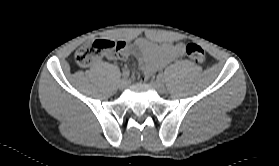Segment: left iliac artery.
<instances>
[{
    "mask_svg": "<svg viewBox=\"0 0 279 166\" xmlns=\"http://www.w3.org/2000/svg\"><path fill=\"white\" fill-rule=\"evenodd\" d=\"M157 79L163 81L164 80V75L163 74H159L157 76Z\"/></svg>",
    "mask_w": 279,
    "mask_h": 166,
    "instance_id": "obj_1",
    "label": "left iliac artery"
}]
</instances>
